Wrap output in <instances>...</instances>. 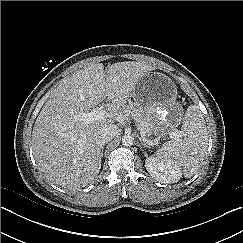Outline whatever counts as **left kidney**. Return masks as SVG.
I'll return each mask as SVG.
<instances>
[{
    "instance_id": "5707ae66",
    "label": "left kidney",
    "mask_w": 243,
    "mask_h": 243,
    "mask_svg": "<svg viewBox=\"0 0 243 243\" xmlns=\"http://www.w3.org/2000/svg\"><path fill=\"white\" fill-rule=\"evenodd\" d=\"M145 167L149 174L161 183H175L182 177V172L178 165L172 162L165 163L155 157H148L145 160Z\"/></svg>"
}]
</instances>
